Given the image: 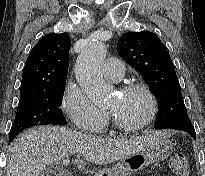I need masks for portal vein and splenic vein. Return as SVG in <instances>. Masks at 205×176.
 Here are the masks:
<instances>
[{
	"mask_svg": "<svg viewBox=\"0 0 205 176\" xmlns=\"http://www.w3.org/2000/svg\"><path fill=\"white\" fill-rule=\"evenodd\" d=\"M69 163H70L69 159L63 160L62 162L63 165H69Z\"/></svg>",
	"mask_w": 205,
	"mask_h": 176,
	"instance_id": "18ae733b",
	"label": "portal vein and splenic vein"
}]
</instances>
